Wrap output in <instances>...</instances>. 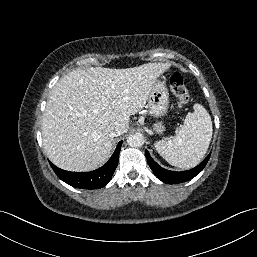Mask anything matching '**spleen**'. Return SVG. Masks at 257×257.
Instances as JSON below:
<instances>
[{"mask_svg":"<svg viewBox=\"0 0 257 257\" xmlns=\"http://www.w3.org/2000/svg\"><path fill=\"white\" fill-rule=\"evenodd\" d=\"M212 121L201 105H194L178 133L168 141L155 143L157 152L172 166L192 168L204 157L212 138Z\"/></svg>","mask_w":257,"mask_h":257,"instance_id":"obj_1","label":"spleen"}]
</instances>
